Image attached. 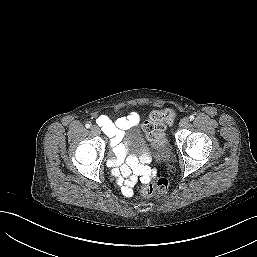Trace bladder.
Segmentation results:
<instances>
[{
    "label": "bladder",
    "mask_w": 257,
    "mask_h": 257,
    "mask_svg": "<svg viewBox=\"0 0 257 257\" xmlns=\"http://www.w3.org/2000/svg\"><path fill=\"white\" fill-rule=\"evenodd\" d=\"M147 135V134H146ZM140 124L136 123L131 128V136L129 139L130 149L140 147L144 153H150L154 158L166 159L172 154L170 143L163 137L154 143L147 135L150 143L142 139ZM128 152V151H127ZM126 152V155H127Z\"/></svg>",
    "instance_id": "obj_1"
}]
</instances>
